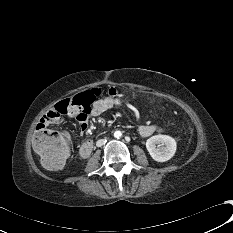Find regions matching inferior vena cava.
<instances>
[{
    "mask_svg": "<svg viewBox=\"0 0 233 233\" xmlns=\"http://www.w3.org/2000/svg\"><path fill=\"white\" fill-rule=\"evenodd\" d=\"M105 144V140L104 139H100V140H98L97 142H96V146L97 147H101V146H103Z\"/></svg>",
    "mask_w": 233,
    "mask_h": 233,
    "instance_id": "inferior-vena-cava-1",
    "label": "inferior vena cava"
}]
</instances>
